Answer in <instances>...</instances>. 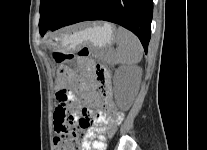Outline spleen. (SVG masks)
Returning <instances> with one entry per match:
<instances>
[{
  "instance_id": "3e777b00",
  "label": "spleen",
  "mask_w": 207,
  "mask_h": 150,
  "mask_svg": "<svg viewBox=\"0 0 207 150\" xmlns=\"http://www.w3.org/2000/svg\"><path fill=\"white\" fill-rule=\"evenodd\" d=\"M116 60L125 65L139 63L143 56V48L139 39L123 27L116 30Z\"/></svg>"
}]
</instances>
